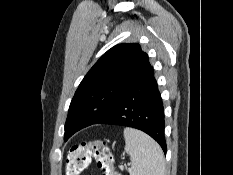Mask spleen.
<instances>
[{"instance_id": "spleen-1", "label": "spleen", "mask_w": 233, "mask_h": 175, "mask_svg": "<svg viewBox=\"0 0 233 175\" xmlns=\"http://www.w3.org/2000/svg\"><path fill=\"white\" fill-rule=\"evenodd\" d=\"M125 151L130 156V175H164V154L159 144L144 132L124 129Z\"/></svg>"}]
</instances>
